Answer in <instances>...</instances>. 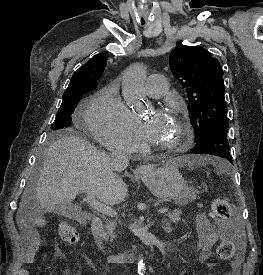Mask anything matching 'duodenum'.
<instances>
[{
    "mask_svg": "<svg viewBox=\"0 0 263 275\" xmlns=\"http://www.w3.org/2000/svg\"><path fill=\"white\" fill-rule=\"evenodd\" d=\"M91 233L97 248L105 254L108 263H123L134 258L133 250L118 254L106 253L104 247V222L100 217L93 218L91 223Z\"/></svg>",
    "mask_w": 263,
    "mask_h": 275,
    "instance_id": "1",
    "label": "duodenum"
}]
</instances>
